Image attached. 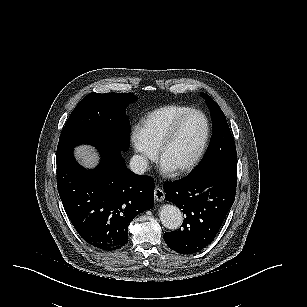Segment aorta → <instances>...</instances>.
I'll return each mask as SVG.
<instances>
[{
	"label": "aorta",
	"mask_w": 307,
	"mask_h": 307,
	"mask_svg": "<svg viewBox=\"0 0 307 307\" xmlns=\"http://www.w3.org/2000/svg\"><path fill=\"white\" fill-rule=\"evenodd\" d=\"M159 217L163 226L167 229L176 230L183 223V215L177 206L165 204L160 208Z\"/></svg>",
	"instance_id": "obj_1"
}]
</instances>
